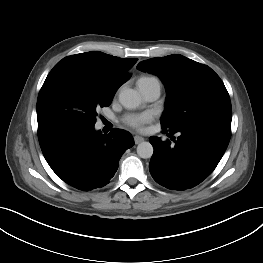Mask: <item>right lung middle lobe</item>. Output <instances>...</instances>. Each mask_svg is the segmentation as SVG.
<instances>
[{
	"label": "right lung middle lobe",
	"mask_w": 263,
	"mask_h": 263,
	"mask_svg": "<svg viewBox=\"0 0 263 263\" xmlns=\"http://www.w3.org/2000/svg\"><path fill=\"white\" fill-rule=\"evenodd\" d=\"M117 89L107 78L83 69L51 70L38 95V133L94 127L98 109L111 104Z\"/></svg>",
	"instance_id": "dd1d6c3e"
}]
</instances>
